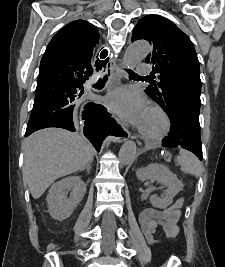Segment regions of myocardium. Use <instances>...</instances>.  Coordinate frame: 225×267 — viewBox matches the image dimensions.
<instances>
[{
  "mask_svg": "<svg viewBox=\"0 0 225 267\" xmlns=\"http://www.w3.org/2000/svg\"><path fill=\"white\" fill-rule=\"evenodd\" d=\"M148 109L151 111H154L160 115V117L163 120V127L156 134H148V133L144 132L143 130H141L140 128H139V133L141 134V136L144 139H146L148 141L162 140L163 138H165L169 134V132L171 130V127H172L171 119H170L169 115L167 114V112L159 106L151 105V106H149Z\"/></svg>",
  "mask_w": 225,
  "mask_h": 267,
  "instance_id": "obj_1",
  "label": "myocardium"
}]
</instances>
